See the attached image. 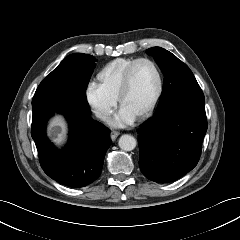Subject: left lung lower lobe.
I'll use <instances>...</instances> for the list:
<instances>
[{"label":"left lung lower lobe","mask_w":240,"mask_h":240,"mask_svg":"<svg viewBox=\"0 0 240 240\" xmlns=\"http://www.w3.org/2000/svg\"><path fill=\"white\" fill-rule=\"evenodd\" d=\"M206 131L204 103L169 106L138 130L141 172L157 183L183 177L197 165Z\"/></svg>","instance_id":"0a47b994"}]
</instances>
